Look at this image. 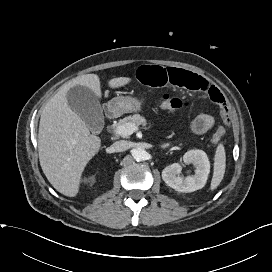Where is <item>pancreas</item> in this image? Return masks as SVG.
Returning <instances> with one entry per match:
<instances>
[{
	"label": "pancreas",
	"instance_id": "cf45deb5",
	"mask_svg": "<svg viewBox=\"0 0 272 272\" xmlns=\"http://www.w3.org/2000/svg\"><path fill=\"white\" fill-rule=\"evenodd\" d=\"M127 123H131L136 126H139V125L147 126L148 125L147 120L143 116H140L139 114H134L132 116H127V117L119 120V122L114 125V128L116 129L118 126L123 125V124H127ZM150 126H151V124L149 123V127Z\"/></svg>",
	"mask_w": 272,
	"mask_h": 272
}]
</instances>
